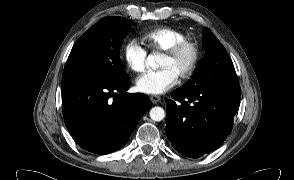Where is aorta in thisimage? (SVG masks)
Wrapping results in <instances>:
<instances>
[{
	"label": "aorta",
	"instance_id": "aorta-1",
	"mask_svg": "<svg viewBox=\"0 0 294 180\" xmlns=\"http://www.w3.org/2000/svg\"><path fill=\"white\" fill-rule=\"evenodd\" d=\"M147 62L152 69H157L160 65V58L158 55H149L147 58ZM149 115L153 121L159 122L164 119L165 111L163 108L155 106L150 109Z\"/></svg>",
	"mask_w": 294,
	"mask_h": 180
}]
</instances>
